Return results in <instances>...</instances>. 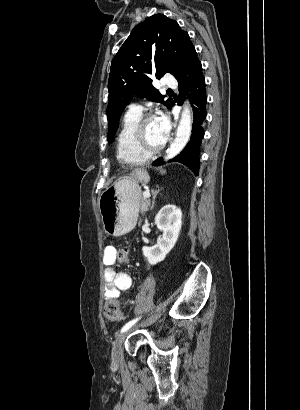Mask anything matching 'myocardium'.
<instances>
[{"label": "myocardium", "mask_w": 300, "mask_h": 410, "mask_svg": "<svg viewBox=\"0 0 300 410\" xmlns=\"http://www.w3.org/2000/svg\"><path fill=\"white\" fill-rule=\"evenodd\" d=\"M153 119V116L150 114L141 116L140 119L137 121L134 130H133V141L137 149L146 154L151 155L162 151L167 143V139L159 146H150L147 144L144 134V126L145 124Z\"/></svg>", "instance_id": "1"}]
</instances>
